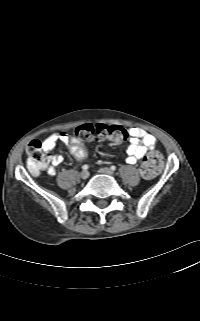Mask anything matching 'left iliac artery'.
<instances>
[{
  "mask_svg": "<svg viewBox=\"0 0 200 321\" xmlns=\"http://www.w3.org/2000/svg\"><path fill=\"white\" fill-rule=\"evenodd\" d=\"M111 170H112V171H115V170H116V167H115V166H111Z\"/></svg>",
  "mask_w": 200,
  "mask_h": 321,
  "instance_id": "44dca946",
  "label": "left iliac artery"
}]
</instances>
